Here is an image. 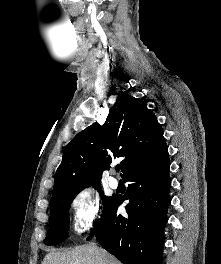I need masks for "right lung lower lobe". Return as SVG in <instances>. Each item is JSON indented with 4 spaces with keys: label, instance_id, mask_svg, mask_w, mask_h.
I'll list each match as a JSON object with an SVG mask.
<instances>
[{
    "label": "right lung lower lobe",
    "instance_id": "obj_1",
    "mask_svg": "<svg viewBox=\"0 0 221 264\" xmlns=\"http://www.w3.org/2000/svg\"><path fill=\"white\" fill-rule=\"evenodd\" d=\"M169 167L167 152L152 164L126 174L123 179L130 182L127 193L115 197L87 240L95 236L123 264H161L170 205ZM124 200L129 203L123 216L117 208Z\"/></svg>",
    "mask_w": 221,
    "mask_h": 264
}]
</instances>
